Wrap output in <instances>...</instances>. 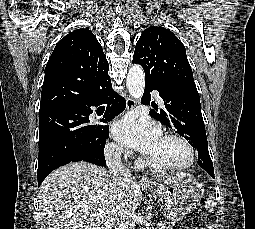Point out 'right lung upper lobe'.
Masks as SVG:
<instances>
[{
    "label": "right lung upper lobe",
    "mask_w": 255,
    "mask_h": 229,
    "mask_svg": "<svg viewBox=\"0 0 255 229\" xmlns=\"http://www.w3.org/2000/svg\"><path fill=\"white\" fill-rule=\"evenodd\" d=\"M109 65L95 35L77 29L62 38L45 68L39 113L73 107L111 84Z\"/></svg>",
    "instance_id": "1"
}]
</instances>
